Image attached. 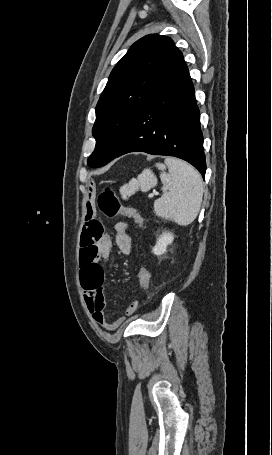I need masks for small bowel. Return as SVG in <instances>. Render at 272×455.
I'll use <instances>...</instances> for the list:
<instances>
[{
    "label": "small bowel",
    "mask_w": 272,
    "mask_h": 455,
    "mask_svg": "<svg viewBox=\"0 0 272 455\" xmlns=\"http://www.w3.org/2000/svg\"><path fill=\"white\" fill-rule=\"evenodd\" d=\"M115 243L122 254L128 256L131 253L132 240L125 222L115 225ZM80 245L81 284L86 304L94 320L106 330L113 331L121 325L125 316L111 321L106 314L102 263L110 254L112 241L104 232L102 224L92 216L88 208ZM136 306L137 302H132L126 314L133 312Z\"/></svg>",
    "instance_id": "small-bowel-1"
}]
</instances>
